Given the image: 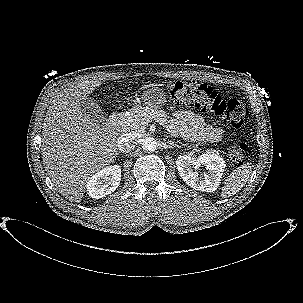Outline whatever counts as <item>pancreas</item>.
<instances>
[{
    "label": "pancreas",
    "instance_id": "pancreas-1",
    "mask_svg": "<svg viewBox=\"0 0 303 303\" xmlns=\"http://www.w3.org/2000/svg\"><path fill=\"white\" fill-rule=\"evenodd\" d=\"M152 120H155L164 127L170 123L169 116L163 110L137 107L123 114L120 121L121 130L122 132H141ZM207 153L219 155V152L213 149L207 150Z\"/></svg>",
    "mask_w": 303,
    "mask_h": 303
}]
</instances>
